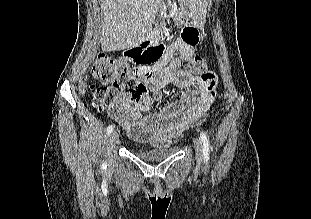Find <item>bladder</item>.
Segmentation results:
<instances>
[{
  "mask_svg": "<svg viewBox=\"0 0 311 219\" xmlns=\"http://www.w3.org/2000/svg\"><path fill=\"white\" fill-rule=\"evenodd\" d=\"M134 150L139 157L145 160L158 161L175 155L179 151V147L162 146L148 149L144 147H136Z\"/></svg>",
  "mask_w": 311,
  "mask_h": 219,
  "instance_id": "obj_1",
  "label": "bladder"
}]
</instances>
